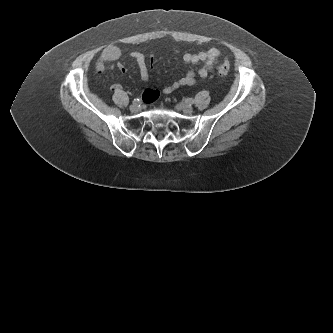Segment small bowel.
Here are the masks:
<instances>
[{"label":"small bowel","instance_id":"1","mask_svg":"<svg viewBox=\"0 0 333 333\" xmlns=\"http://www.w3.org/2000/svg\"><path fill=\"white\" fill-rule=\"evenodd\" d=\"M131 58L136 62L140 76L143 81L149 79V70L147 66V60L144 54L141 52H131ZM220 56V51L216 48H211L205 51H201L197 54L184 53L182 59L184 63L190 66H196L202 64L197 71L190 69L183 77L175 80L172 84L164 87L162 89L163 93L170 94L176 89L184 86H193L197 84L198 80L205 79L209 72L214 68L218 58ZM121 57V49L118 46L110 45L104 48L101 54V61L98 63L97 68L93 71L94 78L92 79V84L94 86H99L101 84L100 77L102 76V71L105 69V64L107 62H117ZM119 70L124 73L125 69L123 66L119 65ZM121 88L119 84H112L111 90L118 91ZM160 98L159 89L153 87L146 90L142 94L143 102L146 105H151L154 101H157Z\"/></svg>","mask_w":333,"mask_h":333}]
</instances>
